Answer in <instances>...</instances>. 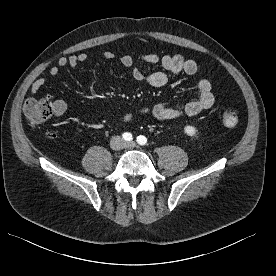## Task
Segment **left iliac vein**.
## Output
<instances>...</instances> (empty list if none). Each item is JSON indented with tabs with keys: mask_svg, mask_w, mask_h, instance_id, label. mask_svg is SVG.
<instances>
[{
	"mask_svg": "<svg viewBox=\"0 0 276 276\" xmlns=\"http://www.w3.org/2000/svg\"><path fill=\"white\" fill-rule=\"evenodd\" d=\"M134 146H135V142L133 141L125 143L126 148H133Z\"/></svg>",
	"mask_w": 276,
	"mask_h": 276,
	"instance_id": "1",
	"label": "left iliac vein"
}]
</instances>
